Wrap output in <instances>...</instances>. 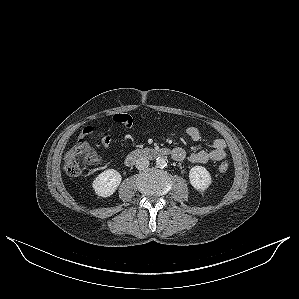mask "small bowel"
Instances as JSON below:
<instances>
[{"label": "small bowel", "mask_w": 299, "mask_h": 299, "mask_svg": "<svg viewBox=\"0 0 299 299\" xmlns=\"http://www.w3.org/2000/svg\"><path fill=\"white\" fill-rule=\"evenodd\" d=\"M113 122L119 123L126 128L131 127L132 125V118L127 114H116L112 117ZM94 132V128L90 125L85 126L81 133L80 137L84 138L87 136L92 135ZM186 133L188 137L192 141H201L202 134L197 127L190 126L186 129ZM113 137L112 135L108 134L101 139V146L104 149H107L112 143ZM174 156L173 158L177 161L188 160L191 163H207L209 161H220L223 160L227 155V144L223 139H215L212 142V149L210 151H197L190 154L180 147L174 148Z\"/></svg>", "instance_id": "small-bowel-1"}]
</instances>
